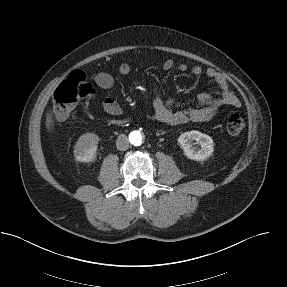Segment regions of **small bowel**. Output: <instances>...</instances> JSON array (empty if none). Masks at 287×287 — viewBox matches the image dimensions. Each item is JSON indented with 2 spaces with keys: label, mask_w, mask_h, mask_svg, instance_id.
Returning a JSON list of instances; mask_svg holds the SVG:
<instances>
[{
  "label": "small bowel",
  "mask_w": 287,
  "mask_h": 287,
  "mask_svg": "<svg viewBox=\"0 0 287 287\" xmlns=\"http://www.w3.org/2000/svg\"><path fill=\"white\" fill-rule=\"evenodd\" d=\"M177 68L181 72H186L189 67L185 63L175 64L174 60L166 59L163 62L165 70ZM131 71V67L127 63L119 66L121 75H127ZM195 76L205 74L216 86L217 95L201 94L197 98V107L188 108L181 111L172 110L173 100H164L160 92L154 90L152 118L166 125L176 126L187 122H205L210 120L218 111L225 106L239 108L241 101L229 88L228 82L224 75L213 68L203 69L199 65L190 68ZM94 82L102 89H110L114 85L113 77L106 72H99L94 76ZM103 110L113 116L122 114L121 106L111 97H105L102 100Z\"/></svg>",
  "instance_id": "1"
}]
</instances>
